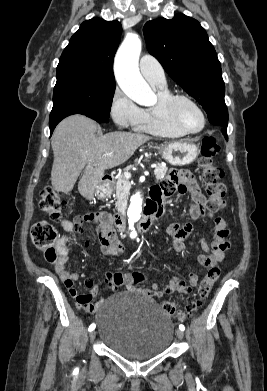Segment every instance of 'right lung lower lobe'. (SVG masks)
<instances>
[{"mask_svg": "<svg viewBox=\"0 0 267 391\" xmlns=\"http://www.w3.org/2000/svg\"><path fill=\"white\" fill-rule=\"evenodd\" d=\"M71 115H72V114H71ZM67 116H69V115H65V116H63V117H61V118H58V119H56V120L49 121L50 133H51V134H52L54 128L56 127V125H57L63 118H65V117H67ZM92 119H93V118H92ZM94 120H96V119H94ZM96 121L99 122V123H102V122L99 121V120H96Z\"/></svg>", "mask_w": 267, "mask_h": 391, "instance_id": "right-lung-lower-lobe-1", "label": "right lung lower lobe"}]
</instances>
